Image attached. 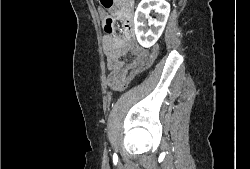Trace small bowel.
Segmentation results:
<instances>
[{
    "label": "small bowel",
    "instance_id": "small-bowel-1",
    "mask_svg": "<svg viewBox=\"0 0 250 169\" xmlns=\"http://www.w3.org/2000/svg\"><path fill=\"white\" fill-rule=\"evenodd\" d=\"M122 18L125 24V41L120 42L118 39L111 36H104L103 46L107 59V68L109 71L108 81L109 84L117 91L119 89V83H129L123 82V77H125V72H131V67H136L140 64L145 57L147 52L139 47L135 42L129 39V32L131 31V17L128 12H122ZM105 26L108 21H113L112 16H105ZM131 53L134 56V60L126 62L123 57Z\"/></svg>",
    "mask_w": 250,
    "mask_h": 169
}]
</instances>
